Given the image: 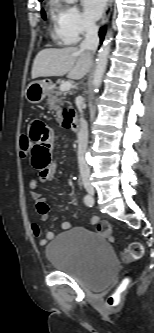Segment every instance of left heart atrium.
Instances as JSON below:
<instances>
[{
  "mask_svg": "<svg viewBox=\"0 0 154 333\" xmlns=\"http://www.w3.org/2000/svg\"><path fill=\"white\" fill-rule=\"evenodd\" d=\"M107 0H82L85 14L89 20L98 19L105 6Z\"/></svg>",
  "mask_w": 154,
  "mask_h": 333,
  "instance_id": "1",
  "label": "left heart atrium"
}]
</instances>
